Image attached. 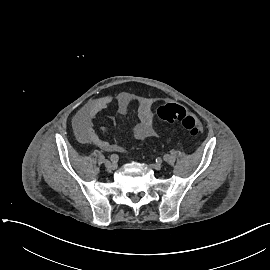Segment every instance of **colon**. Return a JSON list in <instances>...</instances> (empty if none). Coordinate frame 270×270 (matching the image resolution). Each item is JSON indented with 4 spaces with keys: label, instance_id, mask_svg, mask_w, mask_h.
<instances>
[{
    "label": "colon",
    "instance_id": "1",
    "mask_svg": "<svg viewBox=\"0 0 270 270\" xmlns=\"http://www.w3.org/2000/svg\"><path fill=\"white\" fill-rule=\"evenodd\" d=\"M158 118L168 124H179L192 136H198L202 127L197 117L188 109L178 103L163 105L157 110Z\"/></svg>",
    "mask_w": 270,
    "mask_h": 270
}]
</instances>
